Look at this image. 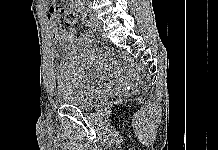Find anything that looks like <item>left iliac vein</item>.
Instances as JSON below:
<instances>
[{"instance_id":"1","label":"left iliac vein","mask_w":218,"mask_h":150,"mask_svg":"<svg viewBox=\"0 0 218 150\" xmlns=\"http://www.w3.org/2000/svg\"><path fill=\"white\" fill-rule=\"evenodd\" d=\"M90 19L93 21L92 26L94 29H96L98 32H102V21L96 18L95 16L91 15Z\"/></svg>"}]
</instances>
